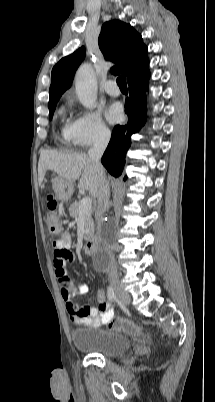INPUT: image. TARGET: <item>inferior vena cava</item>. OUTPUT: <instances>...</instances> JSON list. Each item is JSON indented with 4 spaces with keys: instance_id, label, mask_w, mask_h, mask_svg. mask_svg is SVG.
<instances>
[{
    "instance_id": "602c4592",
    "label": "inferior vena cava",
    "mask_w": 215,
    "mask_h": 402,
    "mask_svg": "<svg viewBox=\"0 0 215 402\" xmlns=\"http://www.w3.org/2000/svg\"><path fill=\"white\" fill-rule=\"evenodd\" d=\"M110 136H111L110 131H102L99 137L96 139L93 147L88 151V156L91 159L95 171L98 175V192H97L98 206L96 211V219L98 222L99 232L101 234L107 233L103 225V214L105 213L109 205L110 187L100 160L108 145ZM103 249L108 253V259H109L107 268L108 279L111 283H118L119 277L115 258L114 255L110 252L109 247L107 246L105 240H103Z\"/></svg>"
}]
</instances>
